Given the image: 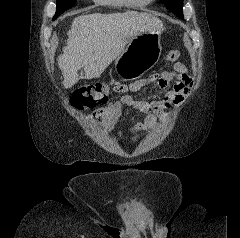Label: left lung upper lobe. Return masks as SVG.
<instances>
[{
	"label": "left lung upper lobe",
	"mask_w": 240,
	"mask_h": 238,
	"mask_svg": "<svg viewBox=\"0 0 240 238\" xmlns=\"http://www.w3.org/2000/svg\"><path fill=\"white\" fill-rule=\"evenodd\" d=\"M168 10L183 18V0H162Z\"/></svg>",
	"instance_id": "1"
}]
</instances>
